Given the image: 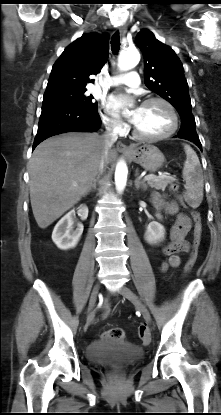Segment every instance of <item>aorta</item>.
Masks as SVG:
<instances>
[{"mask_svg": "<svg viewBox=\"0 0 221 415\" xmlns=\"http://www.w3.org/2000/svg\"><path fill=\"white\" fill-rule=\"evenodd\" d=\"M140 61V54L137 50H126L120 53L118 66L121 70L127 71L134 68ZM128 168L123 160L117 163L115 170V185L119 193L125 189L127 182Z\"/></svg>", "mask_w": 221, "mask_h": 415, "instance_id": "aorta-1", "label": "aorta"}]
</instances>
